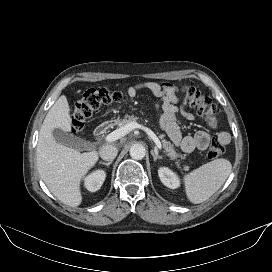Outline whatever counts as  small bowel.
Segmentation results:
<instances>
[{
    "label": "small bowel",
    "mask_w": 272,
    "mask_h": 272,
    "mask_svg": "<svg viewBox=\"0 0 272 272\" xmlns=\"http://www.w3.org/2000/svg\"><path fill=\"white\" fill-rule=\"evenodd\" d=\"M142 90H148L156 98L153 101L154 107L163 110V114L160 118V126L175 145L179 146L186 153H191L194 150L207 149L211 141V136L208 132L198 131L194 135L183 136L179 129L177 123L178 113L188 120H193L194 115L185 107L179 105V99L177 97L179 89L176 86L169 83L141 82L131 85L127 93L129 97L136 98ZM207 125L212 132L216 133V138L222 144L229 143V134L224 131H218L216 120H208Z\"/></svg>",
    "instance_id": "obj_1"
}]
</instances>
